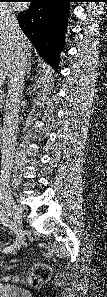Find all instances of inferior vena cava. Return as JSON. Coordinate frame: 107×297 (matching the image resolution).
Masks as SVG:
<instances>
[{"label":"inferior vena cava","instance_id":"inferior-vena-cava-1","mask_svg":"<svg viewBox=\"0 0 107 297\" xmlns=\"http://www.w3.org/2000/svg\"><path fill=\"white\" fill-rule=\"evenodd\" d=\"M0 31L17 41L14 65L9 72L8 94L5 101L3 127L1 133V154L3 169L9 171L12 167L17 128L19 120L20 101L22 98L25 73L28 71L29 54L21 41V31L15 15L6 13L0 19Z\"/></svg>","mask_w":107,"mask_h":297}]
</instances>
